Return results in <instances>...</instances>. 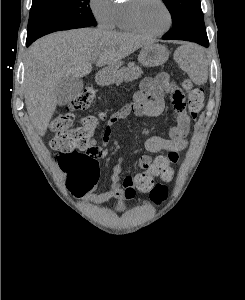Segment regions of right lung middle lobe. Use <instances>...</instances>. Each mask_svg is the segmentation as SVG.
I'll list each match as a JSON object with an SVG mask.
<instances>
[{"label": "right lung middle lobe", "instance_id": "1", "mask_svg": "<svg viewBox=\"0 0 245 300\" xmlns=\"http://www.w3.org/2000/svg\"><path fill=\"white\" fill-rule=\"evenodd\" d=\"M96 25L89 0H33L27 41L59 30Z\"/></svg>", "mask_w": 245, "mask_h": 300}]
</instances>
